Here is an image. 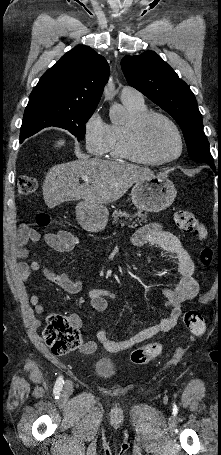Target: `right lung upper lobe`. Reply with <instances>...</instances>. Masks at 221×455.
<instances>
[{"label":"right lung upper lobe","mask_w":221,"mask_h":455,"mask_svg":"<svg viewBox=\"0 0 221 455\" xmlns=\"http://www.w3.org/2000/svg\"><path fill=\"white\" fill-rule=\"evenodd\" d=\"M109 74L103 56L89 46H76L44 73L28 105L96 109Z\"/></svg>","instance_id":"1"}]
</instances>
